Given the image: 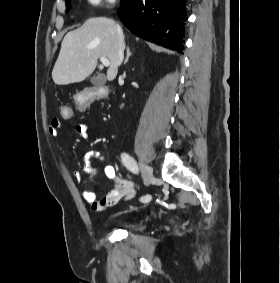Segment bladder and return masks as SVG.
Returning a JSON list of instances; mask_svg holds the SVG:
<instances>
[{"mask_svg":"<svg viewBox=\"0 0 280 283\" xmlns=\"http://www.w3.org/2000/svg\"><path fill=\"white\" fill-rule=\"evenodd\" d=\"M125 229L130 230V231H135V232H139L142 231L144 229V225L142 224H136V223H124L121 224Z\"/></svg>","mask_w":280,"mask_h":283,"instance_id":"obj_1","label":"bladder"}]
</instances>
